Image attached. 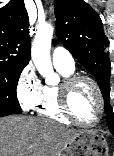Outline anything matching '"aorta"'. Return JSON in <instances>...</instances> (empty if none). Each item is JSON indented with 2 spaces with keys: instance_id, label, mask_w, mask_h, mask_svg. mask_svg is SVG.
I'll return each mask as SVG.
<instances>
[{
  "instance_id": "1",
  "label": "aorta",
  "mask_w": 114,
  "mask_h": 156,
  "mask_svg": "<svg viewBox=\"0 0 114 156\" xmlns=\"http://www.w3.org/2000/svg\"><path fill=\"white\" fill-rule=\"evenodd\" d=\"M53 27L46 24L39 27L31 48V57L38 72L45 77L46 83H56L58 77L54 74L51 58V40L53 36Z\"/></svg>"
}]
</instances>
